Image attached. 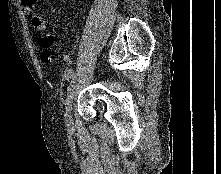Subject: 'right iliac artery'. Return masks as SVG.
Masks as SVG:
<instances>
[{
  "label": "right iliac artery",
  "mask_w": 221,
  "mask_h": 174,
  "mask_svg": "<svg viewBox=\"0 0 221 174\" xmlns=\"http://www.w3.org/2000/svg\"><path fill=\"white\" fill-rule=\"evenodd\" d=\"M73 74H74V72H73L72 69L66 70V72H65V78H66V80L71 79V78L73 77Z\"/></svg>",
  "instance_id": "1"
}]
</instances>
